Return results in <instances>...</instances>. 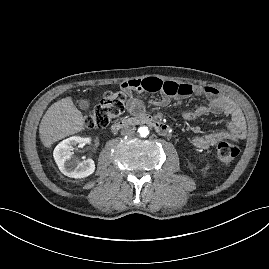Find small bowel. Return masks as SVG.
<instances>
[{"label":"small bowel","instance_id":"obj_1","mask_svg":"<svg viewBox=\"0 0 269 269\" xmlns=\"http://www.w3.org/2000/svg\"><path fill=\"white\" fill-rule=\"evenodd\" d=\"M122 88L129 93L159 92L161 96L151 100L154 106H166L171 99H185L190 96H204L208 104L199 107L195 112L186 114L188 119L200 118L208 113L224 114L229 118L224 130L195 136L192 144L198 150H207L211 146L226 140H239L246 136V124L241 110L227 97L223 96L216 88L211 86L191 85L186 83L164 82L159 78L134 79L122 84ZM145 105L143 101L130 96L127 109L130 113L141 114Z\"/></svg>","mask_w":269,"mask_h":269}]
</instances>
